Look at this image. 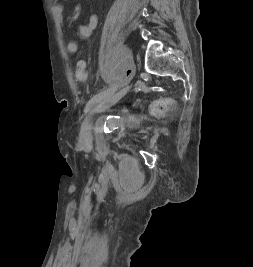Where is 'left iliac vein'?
Here are the masks:
<instances>
[{"instance_id":"1","label":"left iliac vein","mask_w":253,"mask_h":267,"mask_svg":"<svg viewBox=\"0 0 253 267\" xmlns=\"http://www.w3.org/2000/svg\"><path fill=\"white\" fill-rule=\"evenodd\" d=\"M130 87H131V84H128L122 89H120L119 91H114V92L105 94L100 100V102L97 103L95 107L93 108V113L99 114V113H102L108 110L112 105L117 103L123 96L126 95ZM89 133H90V123H89V120H85L82 124V129H81V142L83 144L89 145L90 140H91Z\"/></svg>"}]
</instances>
